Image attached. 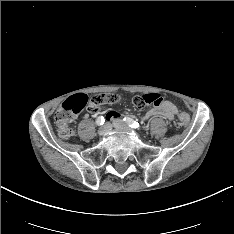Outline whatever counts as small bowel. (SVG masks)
Returning <instances> with one entry per match:
<instances>
[{
    "instance_id": "1",
    "label": "small bowel",
    "mask_w": 234,
    "mask_h": 234,
    "mask_svg": "<svg viewBox=\"0 0 234 234\" xmlns=\"http://www.w3.org/2000/svg\"><path fill=\"white\" fill-rule=\"evenodd\" d=\"M121 97L117 94H103L95 96L88 104V111L91 114H100L106 119L118 118L119 112L111 110L106 105L107 103L119 102ZM134 106L137 109L152 108L144 115L145 119L155 116H162L171 121L178 114V109L175 104L166 100L163 93H153L152 95H140L134 99Z\"/></svg>"
}]
</instances>
